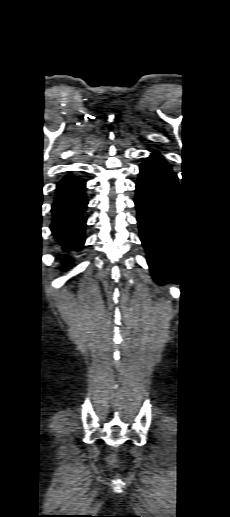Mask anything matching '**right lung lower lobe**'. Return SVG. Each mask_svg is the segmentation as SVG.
Instances as JSON below:
<instances>
[{"mask_svg": "<svg viewBox=\"0 0 230 517\" xmlns=\"http://www.w3.org/2000/svg\"><path fill=\"white\" fill-rule=\"evenodd\" d=\"M88 199L85 182L75 176H65L57 185L52 204L53 221L51 231L65 251L83 247ZM66 267H71V259L66 258Z\"/></svg>", "mask_w": 230, "mask_h": 517, "instance_id": "98d812e1", "label": "right lung lower lobe"}]
</instances>
